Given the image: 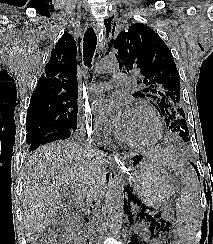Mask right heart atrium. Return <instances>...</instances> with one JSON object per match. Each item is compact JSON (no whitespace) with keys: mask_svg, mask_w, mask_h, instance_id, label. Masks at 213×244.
Here are the masks:
<instances>
[{"mask_svg":"<svg viewBox=\"0 0 213 244\" xmlns=\"http://www.w3.org/2000/svg\"><path fill=\"white\" fill-rule=\"evenodd\" d=\"M105 133V129L95 125L91 115L86 112L79 119L77 135L87 139L98 137Z\"/></svg>","mask_w":213,"mask_h":244,"instance_id":"1","label":"right heart atrium"}]
</instances>
